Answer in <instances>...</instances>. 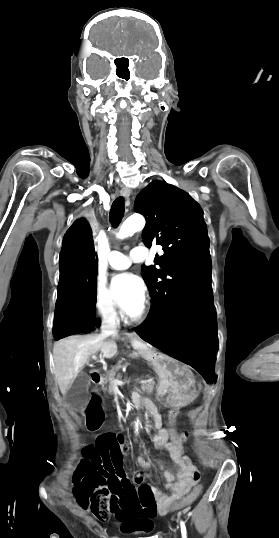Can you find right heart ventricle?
I'll return each mask as SVG.
<instances>
[{
	"instance_id": "right-heart-ventricle-1",
	"label": "right heart ventricle",
	"mask_w": 279,
	"mask_h": 538,
	"mask_svg": "<svg viewBox=\"0 0 279 538\" xmlns=\"http://www.w3.org/2000/svg\"><path fill=\"white\" fill-rule=\"evenodd\" d=\"M132 222H133V219L130 214L123 216L117 226L116 234L118 236H124L126 234L131 233Z\"/></svg>"
}]
</instances>
